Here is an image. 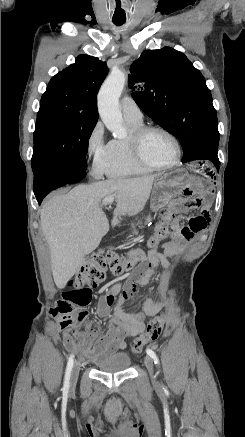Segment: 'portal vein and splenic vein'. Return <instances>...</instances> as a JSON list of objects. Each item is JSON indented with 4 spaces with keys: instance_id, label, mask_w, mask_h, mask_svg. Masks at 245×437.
<instances>
[{
    "instance_id": "portal-vein-and-splenic-vein-1",
    "label": "portal vein and splenic vein",
    "mask_w": 245,
    "mask_h": 437,
    "mask_svg": "<svg viewBox=\"0 0 245 437\" xmlns=\"http://www.w3.org/2000/svg\"><path fill=\"white\" fill-rule=\"evenodd\" d=\"M114 201V197L113 196H108L103 200V205L105 207L110 206Z\"/></svg>"
}]
</instances>
